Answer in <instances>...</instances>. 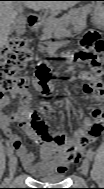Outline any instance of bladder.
I'll return each instance as SVG.
<instances>
[{"instance_id": "bladder-1", "label": "bladder", "mask_w": 104, "mask_h": 189, "mask_svg": "<svg viewBox=\"0 0 104 189\" xmlns=\"http://www.w3.org/2000/svg\"><path fill=\"white\" fill-rule=\"evenodd\" d=\"M42 182L55 183L60 182L65 178V172L60 170L55 171H42L40 174L35 175Z\"/></svg>"}]
</instances>
